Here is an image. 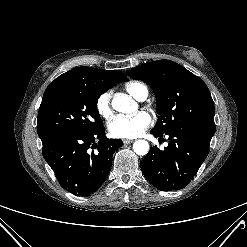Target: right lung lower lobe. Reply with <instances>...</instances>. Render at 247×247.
<instances>
[{
    "instance_id": "98d812e1",
    "label": "right lung lower lobe",
    "mask_w": 247,
    "mask_h": 247,
    "mask_svg": "<svg viewBox=\"0 0 247 247\" xmlns=\"http://www.w3.org/2000/svg\"><path fill=\"white\" fill-rule=\"evenodd\" d=\"M43 157L59 184L75 195L95 192L107 178L120 139H108L104 126L87 133H67L42 141Z\"/></svg>"
}]
</instances>
